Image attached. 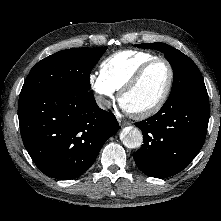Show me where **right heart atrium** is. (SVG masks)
Here are the masks:
<instances>
[{
    "instance_id": "1",
    "label": "right heart atrium",
    "mask_w": 221,
    "mask_h": 221,
    "mask_svg": "<svg viewBox=\"0 0 221 221\" xmlns=\"http://www.w3.org/2000/svg\"><path fill=\"white\" fill-rule=\"evenodd\" d=\"M88 82L91 89L97 96V101L100 106L106 107L110 105L114 98L115 90L107 83L101 73L93 72L88 77Z\"/></svg>"
}]
</instances>
